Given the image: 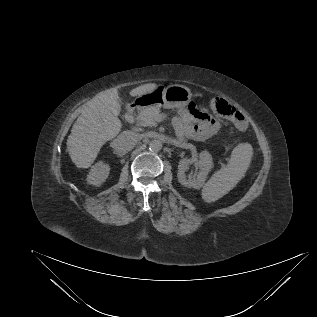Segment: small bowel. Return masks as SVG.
Listing matches in <instances>:
<instances>
[{"mask_svg":"<svg viewBox=\"0 0 317 317\" xmlns=\"http://www.w3.org/2000/svg\"><path fill=\"white\" fill-rule=\"evenodd\" d=\"M173 125L181 139L197 141L208 139L219 130L218 122L205 113H200L197 119H193L189 113H181L173 119Z\"/></svg>","mask_w":317,"mask_h":317,"instance_id":"1","label":"small bowel"}]
</instances>
